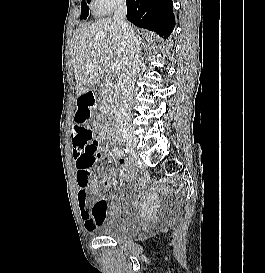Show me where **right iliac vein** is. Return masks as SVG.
Listing matches in <instances>:
<instances>
[{"instance_id":"right-iliac-vein-1","label":"right iliac vein","mask_w":265,"mask_h":273,"mask_svg":"<svg viewBox=\"0 0 265 273\" xmlns=\"http://www.w3.org/2000/svg\"><path fill=\"white\" fill-rule=\"evenodd\" d=\"M119 141H122L125 145L131 148H135L137 145V138L131 133H125L123 136L118 138Z\"/></svg>"}]
</instances>
